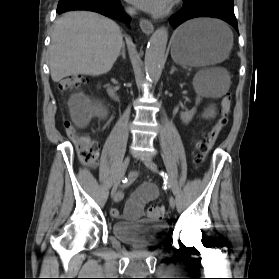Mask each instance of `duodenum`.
Here are the masks:
<instances>
[{
    "label": "duodenum",
    "instance_id": "410a0bca",
    "mask_svg": "<svg viewBox=\"0 0 279 279\" xmlns=\"http://www.w3.org/2000/svg\"><path fill=\"white\" fill-rule=\"evenodd\" d=\"M109 93L114 98V100H118V96L116 95L115 89L113 86H109Z\"/></svg>",
    "mask_w": 279,
    "mask_h": 279
}]
</instances>
